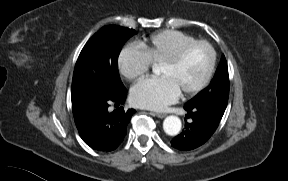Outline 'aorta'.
Instances as JSON below:
<instances>
[{"label":"aorta","instance_id":"762f6f07","mask_svg":"<svg viewBox=\"0 0 288 181\" xmlns=\"http://www.w3.org/2000/svg\"><path fill=\"white\" fill-rule=\"evenodd\" d=\"M182 123L179 117L170 115L164 119L163 129L167 135L176 136L179 134Z\"/></svg>","mask_w":288,"mask_h":181}]
</instances>
